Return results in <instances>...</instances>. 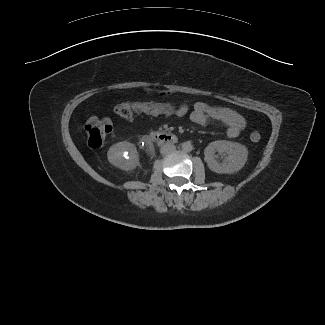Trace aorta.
Masks as SVG:
<instances>
[{
  "label": "aorta",
  "instance_id": "762f6f07",
  "mask_svg": "<svg viewBox=\"0 0 325 325\" xmlns=\"http://www.w3.org/2000/svg\"><path fill=\"white\" fill-rule=\"evenodd\" d=\"M192 149H193V146H192V144H191L190 141L184 142V143L182 144V151H183V152L188 153V152H191Z\"/></svg>",
  "mask_w": 325,
  "mask_h": 325
}]
</instances>
